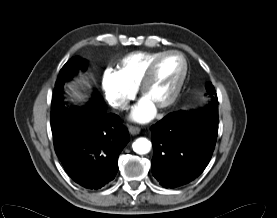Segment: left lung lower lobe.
<instances>
[{"instance_id": "left-lung-lower-lobe-1", "label": "left lung lower lobe", "mask_w": 277, "mask_h": 218, "mask_svg": "<svg viewBox=\"0 0 277 218\" xmlns=\"http://www.w3.org/2000/svg\"><path fill=\"white\" fill-rule=\"evenodd\" d=\"M152 174L166 188L198 177L208 165L218 134V103L200 111H176L151 127Z\"/></svg>"}]
</instances>
